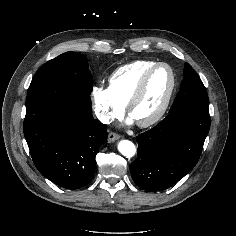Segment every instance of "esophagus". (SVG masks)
I'll return each instance as SVG.
<instances>
[{
    "mask_svg": "<svg viewBox=\"0 0 236 236\" xmlns=\"http://www.w3.org/2000/svg\"><path fill=\"white\" fill-rule=\"evenodd\" d=\"M118 139H120V135L119 134L114 133V132H110L108 134V141L109 142H113V141L118 140Z\"/></svg>",
    "mask_w": 236,
    "mask_h": 236,
    "instance_id": "1",
    "label": "esophagus"
}]
</instances>
